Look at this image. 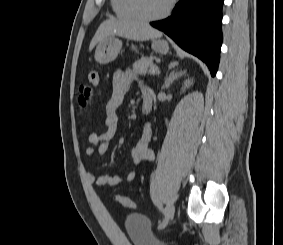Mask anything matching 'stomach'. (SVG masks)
<instances>
[{
  "label": "stomach",
  "mask_w": 283,
  "mask_h": 245,
  "mask_svg": "<svg viewBox=\"0 0 283 245\" xmlns=\"http://www.w3.org/2000/svg\"><path fill=\"white\" fill-rule=\"evenodd\" d=\"M122 48V41L115 36H110L100 41L95 50V61L99 64H107L116 59ZM152 49L160 54L169 51L168 43L164 40H154Z\"/></svg>",
  "instance_id": "1"
}]
</instances>
